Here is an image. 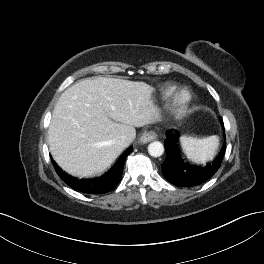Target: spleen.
Returning <instances> with one entry per match:
<instances>
[{
	"mask_svg": "<svg viewBox=\"0 0 264 264\" xmlns=\"http://www.w3.org/2000/svg\"><path fill=\"white\" fill-rule=\"evenodd\" d=\"M180 143L188 159L195 163H204L215 156L219 146V137L216 135L206 138L182 136Z\"/></svg>",
	"mask_w": 264,
	"mask_h": 264,
	"instance_id": "spleen-1",
	"label": "spleen"
}]
</instances>
